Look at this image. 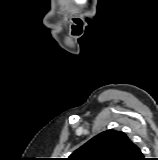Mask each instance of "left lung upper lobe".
<instances>
[{
  "instance_id": "left-lung-upper-lobe-1",
  "label": "left lung upper lobe",
  "mask_w": 158,
  "mask_h": 160,
  "mask_svg": "<svg viewBox=\"0 0 158 160\" xmlns=\"http://www.w3.org/2000/svg\"><path fill=\"white\" fill-rule=\"evenodd\" d=\"M136 147L124 132L107 130L75 150L67 160H131Z\"/></svg>"
}]
</instances>
